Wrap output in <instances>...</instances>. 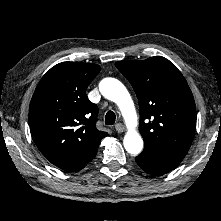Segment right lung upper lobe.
Returning a JSON list of instances; mask_svg holds the SVG:
<instances>
[{
  "label": "right lung upper lobe",
  "instance_id": "1",
  "mask_svg": "<svg viewBox=\"0 0 221 221\" xmlns=\"http://www.w3.org/2000/svg\"><path fill=\"white\" fill-rule=\"evenodd\" d=\"M99 71L97 64L59 63L43 76L32 96L29 107L32 139L59 168L89 156L108 135L97 130L98 108L86 95Z\"/></svg>",
  "mask_w": 221,
  "mask_h": 221
}]
</instances>
